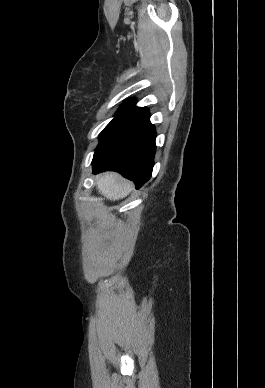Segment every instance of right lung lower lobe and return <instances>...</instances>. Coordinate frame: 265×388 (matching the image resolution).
<instances>
[{
  "mask_svg": "<svg viewBox=\"0 0 265 388\" xmlns=\"http://www.w3.org/2000/svg\"><path fill=\"white\" fill-rule=\"evenodd\" d=\"M148 109L142 110L107 141L99 145L92 160L93 173L114 170L140 188L152 174L156 150L155 128Z\"/></svg>",
  "mask_w": 265,
  "mask_h": 388,
  "instance_id": "obj_1",
  "label": "right lung lower lobe"
}]
</instances>
